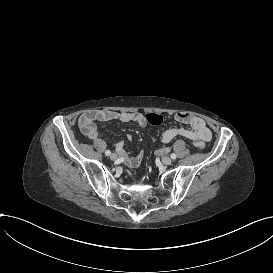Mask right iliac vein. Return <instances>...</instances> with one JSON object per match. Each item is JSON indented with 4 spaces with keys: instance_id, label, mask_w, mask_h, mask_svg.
<instances>
[{
    "instance_id": "1",
    "label": "right iliac vein",
    "mask_w": 273,
    "mask_h": 273,
    "mask_svg": "<svg viewBox=\"0 0 273 273\" xmlns=\"http://www.w3.org/2000/svg\"><path fill=\"white\" fill-rule=\"evenodd\" d=\"M117 158H118V156H117L116 153H112V154L110 155V159H111L112 161L117 160Z\"/></svg>"
}]
</instances>
